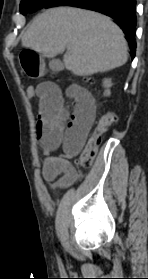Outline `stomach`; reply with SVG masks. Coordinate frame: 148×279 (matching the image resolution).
<instances>
[{"mask_svg": "<svg viewBox=\"0 0 148 279\" xmlns=\"http://www.w3.org/2000/svg\"><path fill=\"white\" fill-rule=\"evenodd\" d=\"M18 62L22 75L31 78V82H44V78L53 75V70L41 50H20Z\"/></svg>", "mask_w": 148, "mask_h": 279, "instance_id": "1", "label": "stomach"}]
</instances>
